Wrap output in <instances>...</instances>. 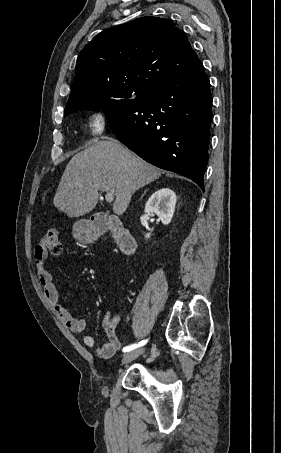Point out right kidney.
Segmentation results:
<instances>
[{
	"instance_id": "obj_1",
	"label": "right kidney",
	"mask_w": 281,
	"mask_h": 453,
	"mask_svg": "<svg viewBox=\"0 0 281 453\" xmlns=\"http://www.w3.org/2000/svg\"><path fill=\"white\" fill-rule=\"evenodd\" d=\"M175 204L176 194L174 190L164 186V188H159V190H156V192L151 194L149 200H147L145 204L144 212H147V214L155 212L160 220H162L163 224H169L174 214ZM145 237L148 239V237H150L149 233L148 235H145Z\"/></svg>"
}]
</instances>
